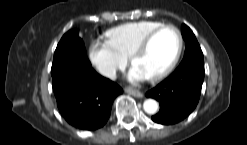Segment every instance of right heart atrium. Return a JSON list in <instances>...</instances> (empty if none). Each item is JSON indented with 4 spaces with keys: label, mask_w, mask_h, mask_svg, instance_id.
Here are the masks:
<instances>
[{
    "label": "right heart atrium",
    "mask_w": 247,
    "mask_h": 145,
    "mask_svg": "<svg viewBox=\"0 0 247 145\" xmlns=\"http://www.w3.org/2000/svg\"><path fill=\"white\" fill-rule=\"evenodd\" d=\"M89 58L97 70L106 77H113L126 64V57L108 40L92 41L89 47Z\"/></svg>",
    "instance_id": "1"
}]
</instances>
